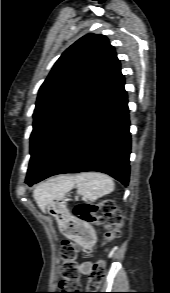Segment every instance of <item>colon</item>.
Listing matches in <instances>:
<instances>
[{
	"label": "colon",
	"instance_id": "1",
	"mask_svg": "<svg viewBox=\"0 0 170 293\" xmlns=\"http://www.w3.org/2000/svg\"><path fill=\"white\" fill-rule=\"evenodd\" d=\"M73 214L78 221L69 216H61L59 219L60 228L64 233L73 231L80 232V223L94 224L105 228V243H110L121 236L120 226L123 217L117 209L116 203L112 200H104L99 204H79L73 209ZM61 260L60 275L62 277V288L52 293H91L81 292L82 287L78 272V247L75 243L64 241L59 249ZM105 278V262L100 260L90 274L88 289H91Z\"/></svg>",
	"mask_w": 170,
	"mask_h": 293
}]
</instances>
